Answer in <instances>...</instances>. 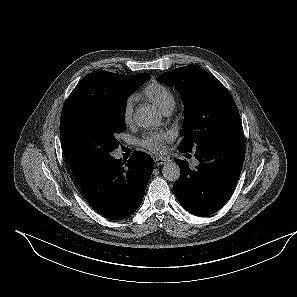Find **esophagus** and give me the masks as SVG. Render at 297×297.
Masks as SVG:
<instances>
[{"label":"esophagus","instance_id":"34e87169","mask_svg":"<svg viewBox=\"0 0 297 297\" xmlns=\"http://www.w3.org/2000/svg\"><path fill=\"white\" fill-rule=\"evenodd\" d=\"M154 161H155V165L159 166V165H163V164L169 162V159L159 157V158H156Z\"/></svg>","mask_w":297,"mask_h":297}]
</instances>
